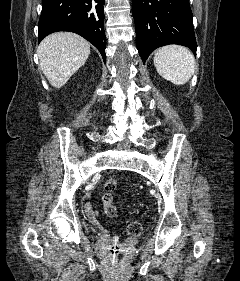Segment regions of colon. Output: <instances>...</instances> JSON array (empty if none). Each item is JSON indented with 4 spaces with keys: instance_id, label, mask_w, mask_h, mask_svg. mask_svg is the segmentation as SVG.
Returning <instances> with one entry per match:
<instances>
[{
    "instance_id": "colon-1",
    "label": "colon",
    "mask_w": 240,
    "mask_h": 281,
    "mask_svg": "<svg viewBox=\"0 0 240 281\" xmlns=\"http://www.w3.org/2000/svg\"><path fill=\"white\" fill-rule=\"evenodd\" d=\"M117 189V181L114 178H109L104 183V194H103V205L105 214L114 218L118 209L116 204L114 203V192ZM142 231V225L139 221H131L127 226V232L131 235H138ZM111 255L115 258L116 262H120L119 259V248L117 246H113L110 249Z\"/></svg>"
}]
</instances>
